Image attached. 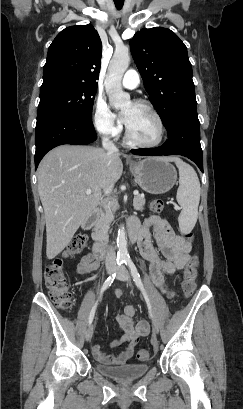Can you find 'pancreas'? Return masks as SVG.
<instances>
[{"label": "pancreas", "mask_w": 243, "mask_h": 409, "mask_svg": "<svg viewBox=\"0 0 243 409\" xmlns=\"http://www.w3.org/2000/svg\"><path fill=\"white\" fill-rule=\"evenodd\" d=\"M145 205L144 195H136L133 200V207L137 211H143ZM117 210L116 206L105 205L104 210L101 211L97 225L94 228V238L99 241H106L108 239V231L111 222L114 220V214Z\"/></svg>", "instance_id": "pancreas-1"}]
</instances>
